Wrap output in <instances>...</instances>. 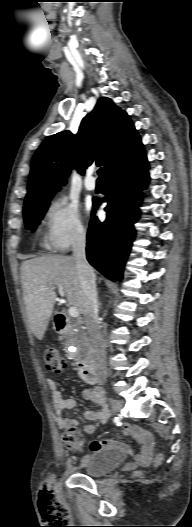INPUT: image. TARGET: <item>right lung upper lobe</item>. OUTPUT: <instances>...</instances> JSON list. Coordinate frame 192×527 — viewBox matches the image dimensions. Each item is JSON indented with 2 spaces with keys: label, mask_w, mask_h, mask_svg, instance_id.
Segmentation results:
<instances>
[{
  "label": "right lung upper lobe",
  "mask_w": 192,
  "mask_h": 527,
  "mask_svg": "<svg viewBox=\"0 0 192 527\" xmlns=\"http://www.w3.org/2000/svg\"><path fill=\"white\" fill-rule=\"evenodd\" d=\"M141 144L127 113L109 98H100L76 135L69 131L57 133L38 148L32 159L24 207L50 200L65 185L73 168L83 174L91 164L103 165L105 175Z\"/></svg>",
  "instance_id": "1"
}]
</instances>
